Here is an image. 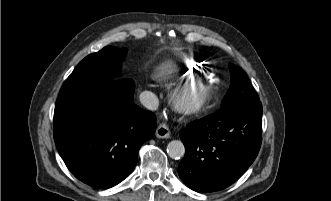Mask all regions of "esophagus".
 <instances>
[{
  "label": "esophagus",
  "instance_id": "esophagus-1",
  "mask_svg": "<svg viewBox=\"0 0 331 201\" xmlns=\"http://www.w3.org/2000/svg\"><path fill=\"white\" fill-rule=\"evenodd\" d=\"M171 135L170 130L168 126L164 123L160 124L156 129V136L158 138H169Z\"/></svg>",
  "mask_w": 331,
  "mask_h": 201
}]
</instances>
